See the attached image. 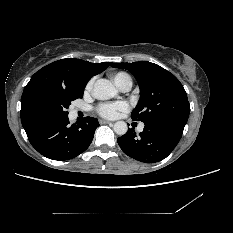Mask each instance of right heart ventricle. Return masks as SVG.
I'll return each mask as SVG.
<instances>
[{
    "mask_svg": "<svg viewBox=\"0 0 233 233\" xmlns=\"http://www.w3.org/2000/svg\"><path fill=\"white\" fill-rule=\"evenodd\" d=\"M113 80L118 87H121L126 81H131L130 77L122 72L114 74Z\"/></svg>",
    "mask_w": 233,
    "mask_h": 233,
    "instance_id": "obj_1",
    "label": "right heart ventricle"
}]
</instances>
